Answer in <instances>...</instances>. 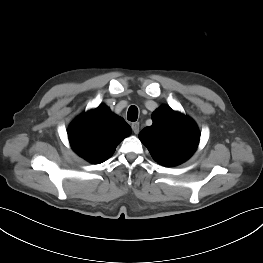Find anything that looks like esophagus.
<instances>
[{"label": "esophagus", "mask_w": 263, "mask_h": 263, "mask_svg": "<svg viewBox=\"0 0 263 263\" xmlns=\"http://www.w3.org/2000/svg\"><path fill=\"white\" fill-rule=\"evenodd\" d=\"M131 128H132V130H133V132H134L135 134H138V133H139V123H138V122L132 123Z\"/></svg>", "instance_id": "esophagus-1"}]
</instances>
